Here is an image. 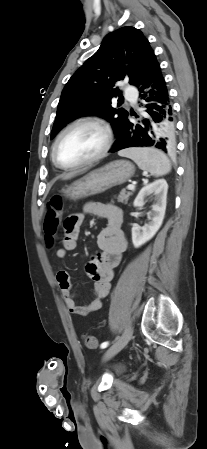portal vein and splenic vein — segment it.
I'll return each instance as SVG.
<instances>
[{
	"label": "portal vein and splenic vein",
	"mask_w": 207,
	"mask_h": 449,
	"mask_svg": "<svg viewBox=\"0 0 207 449\" xmlns=\"http://www.w3.org/2000/svg\"><path fill=\"white\" fill-rule=\"evenodd\" d=\"M128 190H134L135 189V185L134 184H129L127 186Z\"/></svg>",
	"instance_id": "obj_1"
}]
</instances>
